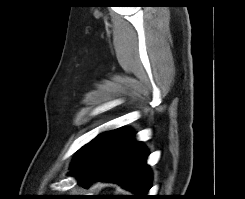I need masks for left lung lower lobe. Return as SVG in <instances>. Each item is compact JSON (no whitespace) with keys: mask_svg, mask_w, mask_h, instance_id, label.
<instances>
[{"mask_svg":"<svg viewBox=\"0 0 245 199\" xmlns=\"http://www.w3.org/2000/svg\"><path fill=\"white\" fill-rule=\"evenodd\" d=\"M147 156L146 148L134 139L133 132L110 130L85 146L71 165V174L84 187L98 180L113 181L135 192L136 198H147L151 184Z\"/></svg>","mask_w":245,"mask_h":199,"instance_id":"0a47b994","label":"left lung lower lobe"}]
</instances>
